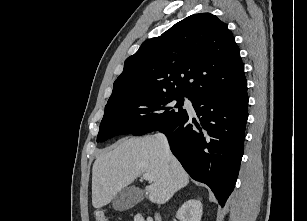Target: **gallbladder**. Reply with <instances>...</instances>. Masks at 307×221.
Segmentation results:
<instances>
[{"label": "gallbladder", "instance_id": "gallbladder-1", "mask_svg": "<svg viewBox=\"0 0 307 221\" xmlns=\"http://www.w3.org/2000/svg\"><path fill=\"white\" fill-rule=\"evenodd\" d=\"M141 199L142 196L139 189L125 187L115 195L112 200V206L117 211H125L135 206Z\"/></svg>", "mask_w": 307, "mask_h": 221}]
</instances>
